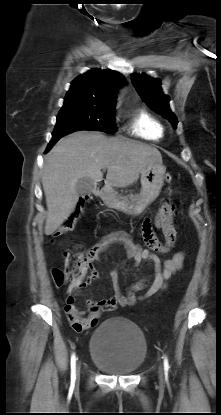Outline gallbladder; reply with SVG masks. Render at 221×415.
<instances>
[{"label":"gallbladder","instance_id":"gallbladder-1","mask_svg":"<svg viewBox=\"0 0 221 415\" xmlns=\"http://www.w3.org/2000/svg\"><path fill=\"white\" fill-rule=\"evenodd\" d=\"M94 180L89 177H83L78 179L75 188L78 195H86L90 193L94 188Z\"/></svg>","mask_w":221,"mask_h":415}]
</instances>
